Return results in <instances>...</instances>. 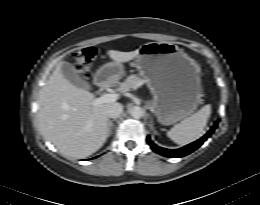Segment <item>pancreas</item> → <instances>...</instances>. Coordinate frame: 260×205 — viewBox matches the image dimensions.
<instances>
[{
	"mask_svg": "<svg viewBox=\"0 0 260 205\" xmlns=\"http://www.w3.org/2000/svg\"><path fill=\"white\" fill-rule=\"evenodd\" d=\"M141 84H143V79H141L137 75H131L123 83L120 84L119 91L126 92L129 91L131 88L139 87Z\"/></svg>",
	"mask_w": 260,
	"mask_h": 205,
	"instance_id": "cf45deb5",
	"label": "pancreas"
}]
</instances>
